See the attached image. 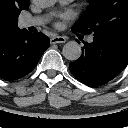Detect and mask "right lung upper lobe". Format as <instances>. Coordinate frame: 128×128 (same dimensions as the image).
<instances>
[{
    "label": "right lung upper lobe",
    "instance_id": "cb5924a9",
    "mask_svg": "<svg viewBox=\"0 0 128 128\" xmlns=\"http://www.w3.org/2000/svg\"><path fill=\"white\" fill-rule=\"evenodd\" d=\"M29 7V0H0V37L19 31L18 15Z\"/></svg>",
    "mask_w": 128,
    "mask_h": 128
}]
</instances>
